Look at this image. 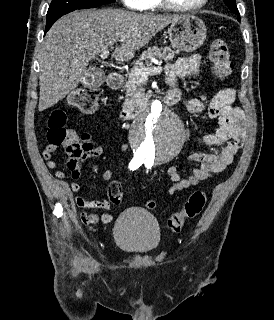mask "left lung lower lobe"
<instances>
[{
  "instance_id": "left-lung-lower-lobe-1",
  "label": "left lung lower lobe",
  "mask_w": 274,
  "mask_h": 320,
  "mask_svg": "<svg viewBox=\"0 0 274 320\" xmlns=\"http://www.w3.org/2000/svg\"><path fill=\"white\" fill-rule=\"evenodd\" d=\"M237 19H238V21H240V15H238Z\"/></svg>"
}]
</instances>
